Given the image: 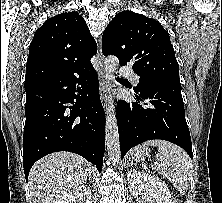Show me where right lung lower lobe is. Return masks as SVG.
Segmentation results:
<instances>
[{
  "label": "right lung lower lobe",
  "mask_w": 222,
  "mask_h": 203,
  "mask_svg": "<svg viewBox=\"0 0 222 203\" xmlns=\"http://www.w3.org/2000/svg\"><path fill=\"white\" fill-rule=\"evenodd\" d=\"M25 90L23 166L26 180L38 159L58 151L79 154L101 172L105 113L96 70L92 67Z\"/></svg>",
  "instance_id": "98d812e1"
}]
</instances>
